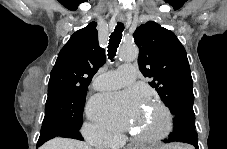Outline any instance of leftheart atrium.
Returning a JSON list of instances; mask_svg holds the SVG:
<instances>
[{
  "label": "left heart atrium",
  "instance_id": "left-heart-atrium-1",
  "mask_svg": "<svg viewBox=\"0 0 227 149\" xmlns=\"http://www.w3.org/2000/svg\"><path fill=\"white\" fill-rule=\"evenodd\" d=\"M139 95L136 92L117 94H100L89 104L91 117L101 121L112 130H127L132 127V119H136Z\"/></svg>",
  "mask_w": 227,
  "mask_h": 149
}]
</instances>
